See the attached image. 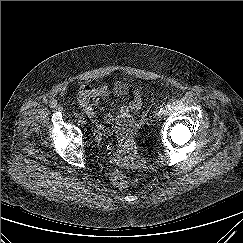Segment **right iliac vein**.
Instances as JSON below:
<instances>
[{
	"label": "right iliac vein",
	"instance_id": "63e3f726",
	"mask_svg": "<svg viewBox=\"0 0 243 243\" xmlns=\"http://www.w3.org/2000/svg\"><path fill=\"white\" fill-rule=\"evenodd\" d=\"M79 122L82 124V125H86L87 124V120L83 117L79 118Z\"/></svg>",
	"mask_w": 243,
	"mask_h": 243
}]
</instances>
